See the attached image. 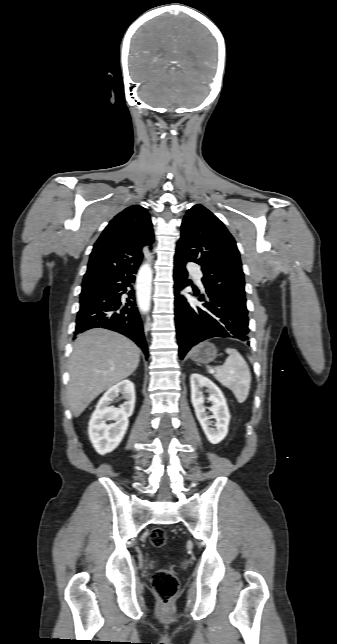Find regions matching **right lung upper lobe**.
I'll use <instances>...</instances> for the list:
<instances>
[{
    "label": "right lung upper lobe",
    "mask_w": 337,
    "mask_h": 644,
    "mask_svg": "<svg viewBox=\"0 0 337 644\" xmlns=\"http://www.w3.org/2000/svg\"><path fill=\"white\" fill-rule=\"evenodd\" d=\"M153 240L147 210L139 205L126 208L111 220L94 244L83 284L98 283L126 266L140 265L142 248Z\"/></svg>",
    "instance_id": "right-lung-upper-lobe-1"
}]
</instances>
